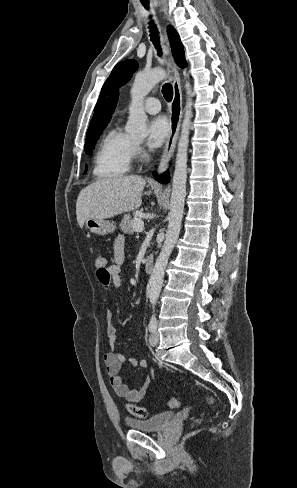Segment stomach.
Returning <instances> with one entry per match:
<instances>
[{
	"mask_svg": "<svg viewBox=\"0 0 297 488\" xmlns=\"http://www.w3.org/2000/svg\"><path fill=\"white\" fill-rule=\"evenodd\" d=\"M85 225L90 232L98 235L113 233L116 229L113 223L104 219L88 218L85 221Z\"/></svg>",
	"mask_w": 297,
	"mask_h": 488,
	"instance_id": "stomach-1",
	"label": "stomach"
}]
</instances>
